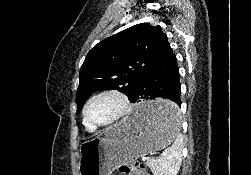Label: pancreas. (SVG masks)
Wrapping results in <instances>:
<instances>
[{
    "mask_svg": "<svg viewBox=\"0 0 251 175\" xmlns=\"http://www.w3.org/2000/svg\"><path fill=\"white\" fill-rule=\"evenodd\" d=\"M147 165H150V161H146Z\"/></svg>",
    "mask_w": 251,
    "mask_h": 175,
    "instance_id": "pancreas-1",
    "label": "pancreas"
}]
</instances>
